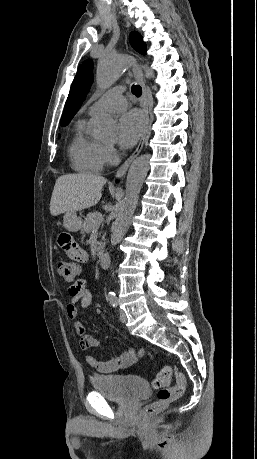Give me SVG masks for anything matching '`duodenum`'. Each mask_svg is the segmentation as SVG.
<instances>
[{"mask_svg":"<svg viewBox=\"0 0 257 459\" xmlns=\"http://www.w3.org/2000/svg\"><path fill=\"white\" fill-rule=\"evenodd\" d=\"M110 264V257L107 252L100 251L98 254V265L100 268H106Z\"/></svg>","mask_w":257,"mask_h":459,"instance_id":"duodenum-1","label":"duodenum"}]
</instances>
